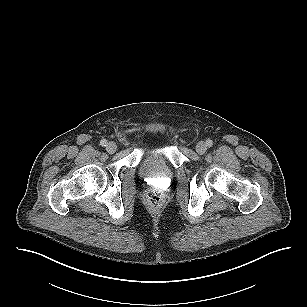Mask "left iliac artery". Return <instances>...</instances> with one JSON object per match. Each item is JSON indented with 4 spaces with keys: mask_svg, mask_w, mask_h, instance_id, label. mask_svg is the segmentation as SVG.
Instances as JSON below:
<instances>
[{
    "mask_svg": "<svg viewBox=\"0 0 307 307\" xmlns=\"http://www.w3.org/2000/svg\"><path fill=\"white\" fill-rule=\"evenodd\" d=\"M206 145H207L208 147H212L213 141H212V140H207V141H206Z\"/></svg>",
    "mask_w": 307,
    "mask_h": 307,
    "instance_id": "1",
    "label": "left iliac artery"
}]
</instances>
